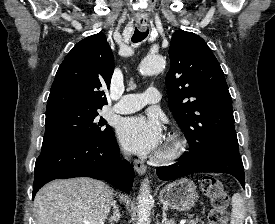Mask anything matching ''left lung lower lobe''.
Wrapping results in <instances>:
<instances>
[{
    "label": "left lung lower lobe",
    "instance_id": "1",
    "mask_svg": "<svg viewBox=\"0 0 275 224\" xmlns=\"http://www.w3.org/2000/svg\"><path fill=\"white\" fill-rule=\"evenodd\" d=\"M198 171L231 174L245 188L244 168L238 148H190L177 163L158 167L156 173L161 180L168 181Z\"/></svg>",
    "mask_w": 275,
    "mask_h": 224
}]
</instances>
